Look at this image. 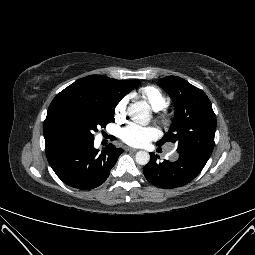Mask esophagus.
<instances>
[{
    "instance_id": "1",
    "label": "esophagus",
    "mask_w": 255,
    "mask_h": 255,
    "mask_svg": "<svg viewBox=\"0 0 255 255\" xmlns=\"http://www.w3.org/2000/svg\"><path fill=\"white\" fill-rule=\"evenodd\" d=\"M124 150H125V151H131V152H136V151H137V149L131 148V147H129V146H125Z\"/></svg>"
}]
</instances>
